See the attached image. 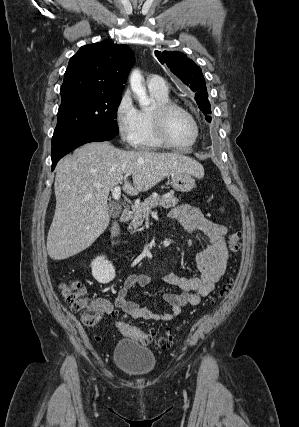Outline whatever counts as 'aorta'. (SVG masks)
<instances>
[{
	"label": "aorta",
	"instance_id": "obj_1",
	"mask_svg": "<svg viewBox=\"0 0 299 427\" xmlns=\"http://www.w3.org/2000/svg\"><path fill=\"white\" fill-rule=\"evenodd\" d=\"M143 77L138 69L132 71L130 76L131 90L135 94L140 106L147 107L151 101L146 94V87L143 85Z\"/></svg>",
	"mask_w": 299,
	"mask_h": 427
}]
</instances>
